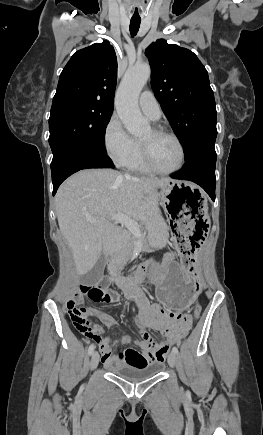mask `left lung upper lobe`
I'll list each match as a JSON object with an SVG mask.
<instances>
[{
	"instance_id": "1",
	"label": "left lung upper lobe",
	"mask_w": 263,
	"mask_h": 435,
	"mask_svg": "<svg viewBox=\"0 0 263 435\" xmlns=\"http://www.w3.org/2000/svg\"><path fill=\"white\" fill-rule=\"evenodd\" d=\"M151 65V86L185 158L198 147L215 143L216 108L208 73L197 56L163 39L145 51Z\"/></svg>"
}]
</instances>
